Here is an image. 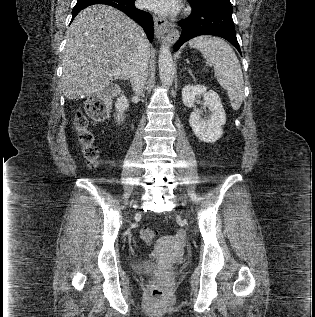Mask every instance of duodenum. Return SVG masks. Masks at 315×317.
Returning <instances> with one entry per match:
<instances>
[{
  "instance_id": "obj_1",
  "label": "duodenum",
  "mask_w": 315,
  "mask_h": 317,
  "mask_svg": "<svg viewBox=\"0 0 315 317\" xmlns=\"http://www.w3.org/2000/svg\"><path fill=\"white\" fill-rule=\"evenodd\" d=\"M119 124H123L124 123V115L121 114L119 119H118Z\"/></svg>"
}]
</instances>
